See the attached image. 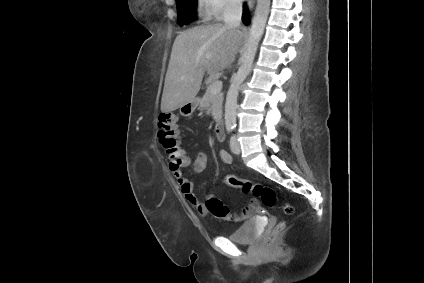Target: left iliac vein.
Instances as JSON below:
<instances>
[{
  "label": "left iliac vein",
  "instance_id": "4c4485c4",
  "mask_svg": "<svg viewBox=\"0 0 424 283\" xmlns=\"http://www.w3.org/2000/svg\"><path fill=\"white\" fill-rule=\"evenodd\" d=\"M230 148L234 154H239L241 152L240 143L235 135H233L230 139Z\"/></svg>",
  "mask_w": 424,
  "mask_h": 283
}]
</instances>
